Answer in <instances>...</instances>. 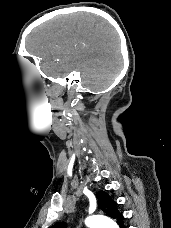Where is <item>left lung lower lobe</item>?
Masks as SVG:
<instances>
[{"instance_id":"1","label":"left lung lower lobe","mask_w":171,"mask_h":228,"mask_svg":"<svg viewBox=\"0 0 171 228\" xmlns=\"http://www.w3.org/2000/svg\"><path fill=\"white\" fill-rule=\"evenodd\" d=\"M119 225H120V228H125V226L123 225V221Z\"/></svg>"}]
</instances>
